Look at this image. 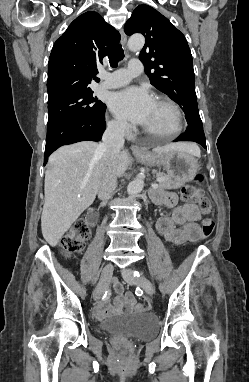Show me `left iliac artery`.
Masks as SVG:
<instances>
[{
    "label": "left iliac artery",
    "mask_w": 249,
    "mask_h": 382,
    "mask_svg": "<svg viewBox=\"0 0 249 382\" xmlns=\"http://www.w3.org/2000/svg\"><path fill=\"white\" fill-rule=\"evenodd\" d=\"M134 276L139 277L140 276L139 272L138 271H134Z\"/></svg>",
    "instance_id": "44dca946"
}]
</instances>
